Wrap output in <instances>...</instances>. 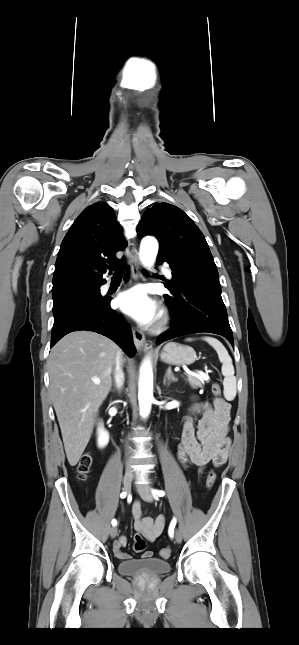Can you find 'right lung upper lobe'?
Instances as JSON below:
<instances>
[{"instance_id":"1","label":"right lung upper lobe","mask_w":299,"mask_h":645,"mask_svg":"<svg viewBox=\"0 0 299 645\" xmlns=\"http://www.w3.org/2000/svg\"><path fill=\"white\" fill-rule=\"evenodd\" d=\"M126 246L122 227L111 207L105 202L88 206L62 241L52 291L78 283L104 284L106 263L117 262L115 253Z\"/></svg>"}]
</instances>
